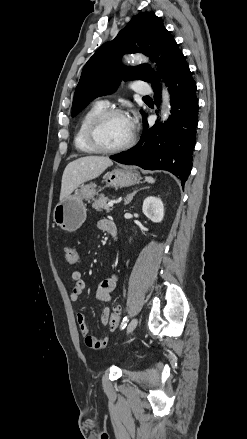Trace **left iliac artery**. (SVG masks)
Wrapping results in <instances>:
<instances>
[{
    "label": "left iliac artery",
    "mask_w": 247,
    "mask_h": 439,
    "mask_svg": "<svg viewBox=\"0 0 247 439\" xmlns=\"http://www.w3.org/2000/svg\"><path fill=\"white\" fill-rule=\"evenodd\" d=\"M127 322H128V317L126 316L120 325V329H124L127 325Z\"/></svg>",
    "instance_id": "obj_1"
}]
</instances>
